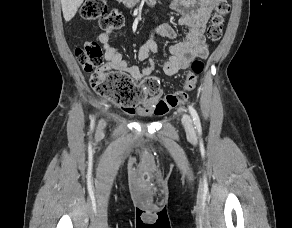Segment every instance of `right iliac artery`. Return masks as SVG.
Here are the masks:
<instances>
[{
    "mask_svg": "<svg viewBox=\"0 0 292 228\" xmlns=\"http://www.w3.org/2000/svg\"><path fill=\"white\" fill-rule=\"evenodd\" d=\"M90 127H91V130H92L93 127H94V118H92V120H91V125H90Z\"/></svg>",
    "mask_w": 292,
    "mask_h": 228,
    "instance_id": "right-iliac-artery-1",
    "label": "right iliac artery"
}]
</instances>
